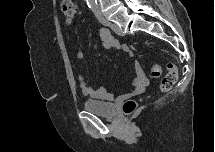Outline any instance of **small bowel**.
Returning <instances> with one entry per match:
<instances>
[{"mask_svg": "<svg viewBox=\"0 0 215 152\" xmlns=\"http://www.w3.org/2000/svg\"><path fill=\"white\" fill-rule=\"evenodd\" d=\"M98 34L101 40L102 47L106 49L116 48L127 53L129 56L133 55V52L128 46V44L126 42L120 43L119 41H117L107 29L101 28ZM77 58L79 60H83L85 58V51L83 49L77 51ZM132 66L134 69V76L132 78V89L125 95L127 97L135 96L142 93L149 84L140 64L137 61H133ZM79 83L81 90L85 95H89L98 100H107L112 97V95L105 88L96 89L90 86L87 80L82 75H79Z\"/></svg>", "mask_w": 215, "mask_h": 152, "instance_id": "1", "label": "small bowel"}]
</instances>
